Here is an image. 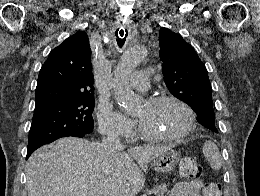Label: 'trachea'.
Wrapping results in <instances>:
<instances>
[{"label":"trachea","mask_w":260,"mask_h":196,"mask_svg":"<svg viewBox=\"0 0 260 196\" xmlns=\"http://www.w3.org/2000/svg\"><path fill=\"white\" fill-rule=\"evenodd\" d=\"M117 33L118 32H116V34ZM119 35L120 36H124V32L123 33L120 32ZM126 37H127V33L125 34V36H124V38L122 40H118L117 39V44H118L119 47H122L124 45Z\"/></svg>","instance_id":"obj_1"}]
</instances>
